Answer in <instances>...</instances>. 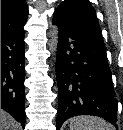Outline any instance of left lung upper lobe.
I'll use <instances>...</instances> for the list:
<instances>
[{
    "label": "left lung upper lobe",
    "instance_id": "1",
    "mask_svg": "<svg viewBox=\"0 0 123 130\" xmlns=\"http://www.w3.org/2000/svg\"><path fill=\"white\" fill-rule=\"evenodd\" d=\"M57 9L80 30L102 38L96 12L88 0H65Z\"/></svg>",
    "mask_w": 123,
    "mask_h": 130
}]
</instances>
